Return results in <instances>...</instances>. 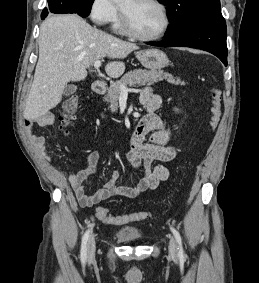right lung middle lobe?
<instances>
[{
	"instance_id": "dd1d6c3e",
	"label": "right lung middle lobe",
	"mask_w": 259,
	"mask_h": 283,
	"mask_svg": "<svg viewBox=\"0 0 259 283\" xmlns=\"http://www.w3.org/2000/svg\"><path fill=\"white\" fill-rule=\"evenodd\" d=\"M93 1L94 0H82L83 8H82L81 12L85 14V16H83V17L88 16V14L90 13V8H91Z\"/></svg>"
}]
</instances>
